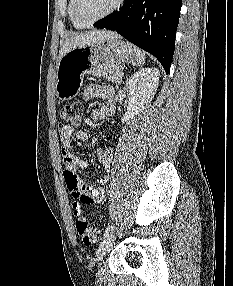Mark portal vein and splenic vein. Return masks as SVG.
I'll return each instance as SVG.
<instances>
[{
  "label": "portal vein and splenic vein",
  "mask_w": 233,
  "mask_h": 286,
  "mask_svg": "<svg viewBox=\"0 0 233 286\" xmlns=\"http://www.w3.org/2000/svg\"><path fill=\"white\" fill-rule=\"evenodd\" d=\"M118 76H119V77H123V72H119V73H118Z\"/></svg>",
  "instance_id": "portal-vein-and-splenic-vein-1"
}]
</instances>
